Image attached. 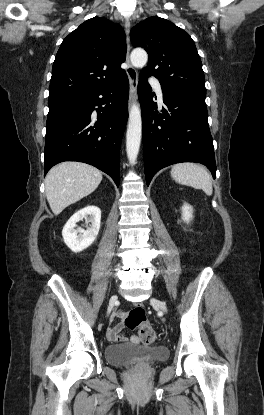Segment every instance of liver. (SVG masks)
Returning a JSON list of instances; mask_svg holds the SVG:
<instances>
[{"instance_id":"liver-1","label":"liver","mask_w":264,"mask_h":415,"mask_svg":"<svg viewBox=\"0 0 264 415\" xmlns=\"http://www.w3.org/2000/svg\"><path fill=\"white\" fill-rule=\"evenodd\" d=\"M101 181V171L85 163L62 162L54 166L45 178L46 197L52 212L60 214L95 191Z\"/></svg>"}]
</instances>
